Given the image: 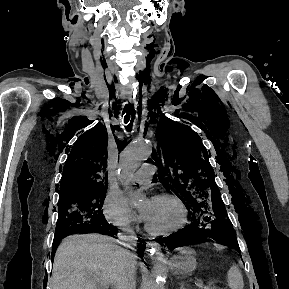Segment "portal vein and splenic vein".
<instances>
[{
	"label": "portal vein and splenic vein",
	"mask_w": 289,
	"mask_h": 289,
	"mask_svg": "<svg viewBox=\"0 0 289 289\" xmlns=\"http://www.w3.org/2000/svg\"><path fill=\"white\" fill-rule=\"evenodd\" d=\"M196 286H197L199 289H204L203 281H202V280L197 281ZM104 287H106V285H104Z\"/></svg>",
	"instance_id": "1"
}]
</instances>
